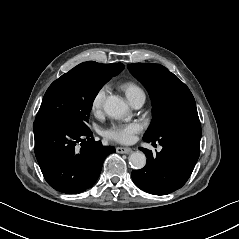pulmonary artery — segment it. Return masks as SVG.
Returning a JSON list of instances; mask_svg holds the SVG:
<instances>
[{"instance_id": "e3ab8cb5", "label": "pulmonary artery", "mask_w": 239, "mask_h": 239, "mask_svg": "<svg viewBox=\"0 0 239 239\" xmlns=\"http://www.w3.org/2000/svg\"><path fill=\"white\" fill-rule=\"evenodd\" d=\"M145 98H146V96L142 89L137 90L128 95L129 102L135 108L141 107L145 102Z\"/></svg>"}]
</instances>
